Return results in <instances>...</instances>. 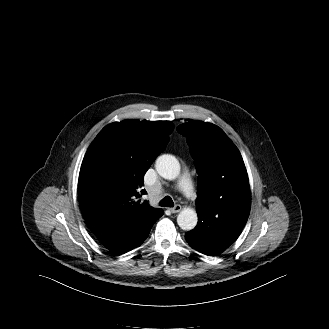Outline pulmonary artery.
<instances>
[{
	"instance_id": "obj_1",
	"label": "pulmonary artery",
	"mask_w": 329,
	"mask_h": 329,
	"mask_svg": "<svg viewBox=\"0 0 329 329\" xmlns=\"http://www.w3.org/2000/svg\"><path fill=\"white\" fill-rule=\"evenodd\" d=\"M177 186L187 197H191L194 195V187L188 175H183L178 181Z\"/></svg>"
}]
</instances>
